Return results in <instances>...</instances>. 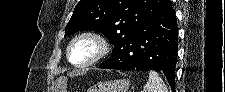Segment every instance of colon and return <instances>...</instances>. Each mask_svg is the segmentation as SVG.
I'll use <instances>...</instances> for the list:
<instances>
[{"instance_id": "1", "label": "colon", "mask_w": 225, "mask_h": 92, "mask_svg": "<svg viewBox=\"0 0 225 92\" xmlns=\"http://www.w3.org/2000/svg\"><path fill=\"white\" fill-rule=\"evenodd\" d=\"M56 92H66V78L61 77L56 84Z\"/></svg>"}]
</instances>
